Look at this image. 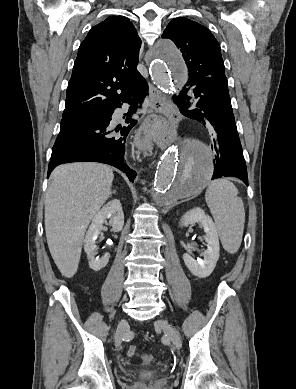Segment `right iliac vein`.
<instances>
[{
    "mask_svg": "<svg viewBox=\"0 0 296 389\" xmlns=\"http://www.w3.org/2000/svg\"><path fill=\"white\" fill-rule=\"evenodd\" d=\"M126 328H127V321L125 319H122L119 322L118 328H117L116 340H115L116 346L121 345Z\"/></svg>",
    "mask_w": 296,
    "mask_h": 389,
    "instance_id": "1",
    "label": "right iliac vein"
}]
</instances>
